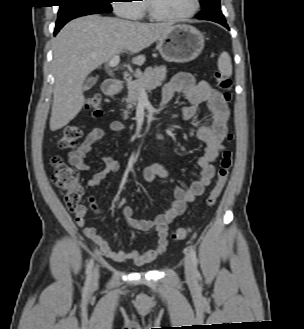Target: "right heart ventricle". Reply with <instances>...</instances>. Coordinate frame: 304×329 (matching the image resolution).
<instances>
[{"label":"right heart ventricle","mask_w":304,"mask_h":329,"mask_svg":"<svg viewBox=\"0 0 304 329\" xmlns=\"http://www.w3.org/2000/svg\"><path fill=\"white\" fill-rule=\"evenodd\" d=\"M140 7H141V15L145 14V12H146L145 3L141 4Z\"/></svg>","instance_id":"obj_1"}]
</instances>
